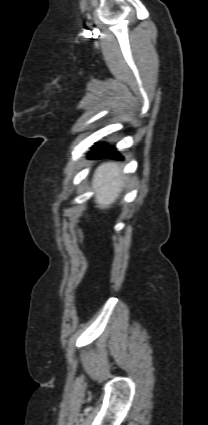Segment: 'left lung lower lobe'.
Wrapping results in <instances>:
<instances>
[{"mask_svg":"<svg viewBox=\"0 0 208 425\" xmlns=\"http://www.w3.org/2000/svg\"><path fill=\"white\" fill-rule=\"evenodd\" d=\"M110 157L115 160H123V157L112 146H94L93 151L89 154L88 158L96 159Z\"/></svg>","mask_w":208,"mask_h":425,"instance_id":"0a47b994","label":"left lung lower lobe"}]
</instances>
